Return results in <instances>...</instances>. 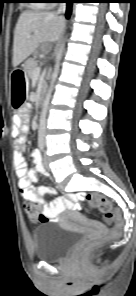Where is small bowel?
Masks as SVG:
<instances>
[{
  "mask_svg": "<svg viewBox=\"0 0 136 296\" xmlns=\"http://www.w3.org/2000/svg\"><path fill=\"white\" fill-rule=\"evenodd\" d=\"M28 111L29 106H25L13 117V121L19 133L15 141V166L16 173L19 178L20 193L25 200L44 205L41 215L45 217L46 221L57 222L65 211L73 209L77 200V196L74 194H69L65 197H58L52 204H47V197L55 195V190L52 188H36L33 186V183L37 179V172L47 178L50 177V174L42 164L41 154L39 151L36 150L32 152L33 166L31 168L28 167L27 162L23 156L27 140V133L29 130L27 123ZM31 219L35 221L37 220V217L32 216Z\"/></svg>",
  "mask_w": 136,
  "mask_h": 296,
  "instance_id": "small-bowel-1",
  "label": "small bowel"
}]
</instances>
